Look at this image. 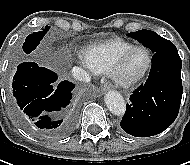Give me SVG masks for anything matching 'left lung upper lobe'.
<instances>
[{"label": "left lung upper lobe", "mask_w": 190, "mask_h": 165, "mask_svg": "<svg viewBox=\"0 0 190 165\" xmlns=\"http://www.w3.org/2000/svg\"><path fill=\"white\" fill-rule=\"evenodd\" d=\"M128 36L138 40L145 47H148L152 52H157L162 48L172 45V42L159 36L157 33L150 30H139L137 32L128 33Z\"/></svg>", "instance_id": "obj_1"}]
</instances>
